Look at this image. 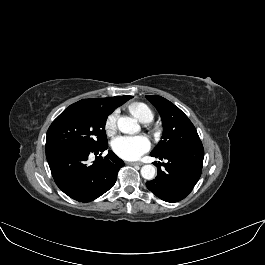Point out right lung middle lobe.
I'll use <instances>...</instances> for the list:
<instances>
[{
  "label": "right lung middle lobe",
  "instance_id": "dd1d6c3e",
  "mask_svg": "<svg viewBox=\"0 0 265 265\" xmlns=\"http://www.w3.org/2000/svg\"><path fill=\"white\" fill-rule=\"evenodd\" d=\"M111 112L86 101L67 107L50 125L46 146L75 145L97 149L107 145L105 123Z\"/></svg>",
  "mask_w": 265,
  "mask_h": 265
}]
</instances>
